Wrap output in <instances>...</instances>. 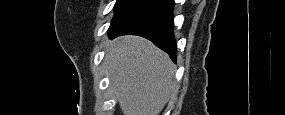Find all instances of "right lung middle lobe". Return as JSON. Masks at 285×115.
<instances>
[{
  "label": "right lung middle lobe",
  "mask_w": 285,
  "mask_h": 115,
  "mask_svg": "<svg viewBox=\"0 0 285 115\" xmlns=\"http://www.w3.org/2000/svg\"><path fill=\"white\" fill-rule=\"evenodd\" d=\"M157 1L158 0H117L114 6L115 15L108 32L111 33L127 19L151 6Z\"/></svg>",
  "instance_id": "dd1d6c3e"
}]
</instances>
